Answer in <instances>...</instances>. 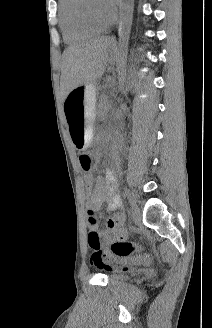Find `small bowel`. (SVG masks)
Instances as JSON below:
<instances>
[{
	"label": "small bowel",
	"instance_id": "obj_1",
	"mask_svg": "<svg viewBox=\"0 0 212 328\" xmlns=\"http://www.w3.org/2000/svg\"><path fill=\"white\" fill-rule=\"evenodd\" d=\"M84 184L86 191L89 193L87 199V207L89 211L96 213L99 211L104 203H107L109 211H118L115 215L107 217L103 221L104 232L103 236L107 242L113 240L125 239L127 230L124 226L125 216L119 212L122 208V200L116 191V175L113 170H107L103 177L96 180L93 178L90 170H83ZM99 218L96 221H90L92 228H97Z\"/></svg>",
	"mask_w": 212,
	"mask_h": 328
}]
</instances>
